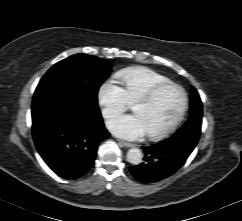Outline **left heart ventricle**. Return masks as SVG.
Wrapping results in <instances>:
<instances>
[{
  "label": "left heart ventricle",
  "mask_w": 242,
  "mask_h": 221,
  "mask_svg": "<svg viewBox=\"0 0 242 221\" xmlns=\"http://www.w3.org/2000/svg\"><path fill=\"white\" fill-rule=\"evenodd\" d=\"M182 106V95L176 88H167L149 104H136L133 112L145 124L148 133L161 131L178 116Z\"/></svg>",
  "instance_id": "b2bd125f"
}]
</instances>
